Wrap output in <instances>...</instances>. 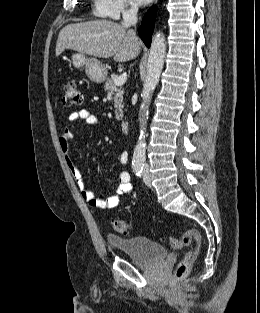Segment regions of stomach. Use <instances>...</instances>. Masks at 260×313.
Wrapping results in <instances>:
<instances>
[{
    "instance_id": "1",
    "label": "stomach",
    "mask_w": 260,
    "mask_h": 313,
    "mask_svg": "<svg viewBox=\"0 0 260 313\" xmlns=\"http://www.w3.org/2000/svg\"><path fill=\"white\" fill-rule=\"evenodd\" d=\"M72 64L76 68L85 66L86 75L95 83H101L106 78V67L99 60L95 58H87L83 53L73 54Z\"/></svg>"
}]
</instances>
